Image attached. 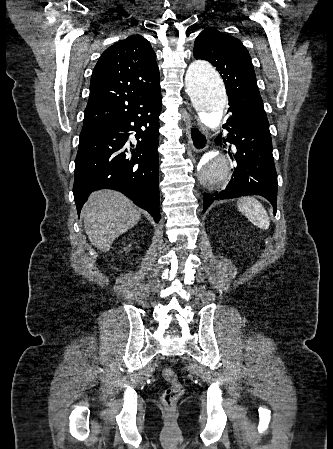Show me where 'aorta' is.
Returning <instances> with one entry per match:
<instances>
[{
  "label": "aorta",
  "instance_id": "1",
  "mask_svg": "<svg viewBox=\"0 0 333 449\" xmlns=\"http://www.w3.org/2000/svg\"><path fill=\"white\" fill-rule=\"evenodd\" d=\"M185 89L201 120H220L227 105V96L221 77L210 63L195 60L189 65ZM229 173V158L217 150L202 155L193 169L196 183L209 192L223 189Z\"/></svg>",
  "mask_w": 333,
  "mask_h": 449
}]
</instances>
